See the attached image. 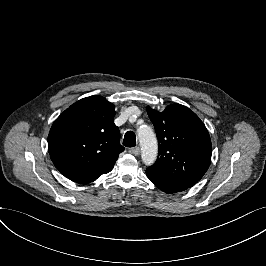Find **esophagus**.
<instances>
[{
	"label": "esophagus",
	"mask_w": 266,
	"mask_h": 266,
	"mask_svg": "<svg viewBox=\"0 0 266 266\" xmlns=\"http://www.w3.org/2000/svg\"><path fill=\"white\" fill-rule=\"evenodd\" d=\"M129 152H130L132 155L137 156V155H139V153H140V149H139L138 147H134V148H131V149L129 150Z\"/></svg>",
	"instance_id": "obj_1"
}]
</instances>
